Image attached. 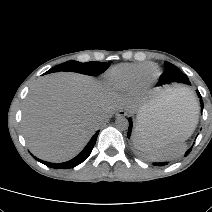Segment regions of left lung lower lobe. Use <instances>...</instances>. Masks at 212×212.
Here are the masks:
<instances>
[{
  "instance_id": "0a47b994",
  "label": "left lung lower lobe",
  "mask_w": 212,
  "mask_h": 212,
  "mask_svg": "<svg viewBox=\"0 0 212 212\" xmlns=\"http://www.w3.org/2000/svg\"><path fill=\"white\" fill-rule=\"evenodd\" d=\"M197 94H198V97L200 98V103H201V111L203 110V100L201 99V95L199 93V91H197ZM131 131H132V120L131 118H129V129H128V138H130V135H131ZM136 148L142 152V154L145 156V157H148L142 150L139 149V147L136 145ZM191 151V148L186 152L185 156H187ZM149 158V157H148ZM155 166H164V165H167L168 163L167 162H161V163H153Z\"/></svg>"
}]
</instances>
